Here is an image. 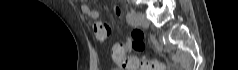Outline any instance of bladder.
I'll use <instances>...</instances> for the list:
<instances>
[{"label":"bladder","instance_id":"1","mask_svg":"<svg viewBox=\"0 0 238 70\" xmlns=\"http://www.w3.org/2000/svg\"><path fill=\"white\" fill-rule=\"evenodd\" d=\"M113 70H121V69L115 68V69H113Z\"/></svg>","mask_w":238,"mask_h":70}]
</instances>
